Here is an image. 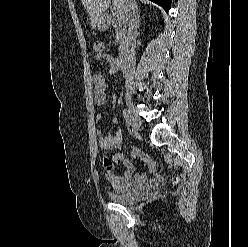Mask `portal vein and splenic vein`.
<instances>
[{"mask_svg":"<svg viewBox=\"0 0 248 247\" xmlns=\"http://www.w3.org/2000/svg\"><path fill=\"white\" fill-rule=\"evenodd\" d=\"M115 14L117 15V16H119L120 14L115 10Z\"/></svg>","mask_w":248,"mask_h":247,"instance_id":"portal-vein-and-splenic-vein-1","label":"portal vein and splenic vein"}]
</instances>
